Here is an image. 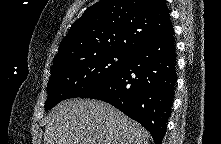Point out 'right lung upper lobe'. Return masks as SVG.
<instances>
[{
  "label": "right lung upper lobe",
  "instance_id": "obj_1",
  "mask_svg": "<svg viewBox=\"0 0 221 144\" xmlns=\"http://www.w3.org/2000/svg\"><path fill=\"white\" fill-rule=\"evenodd\" d=\"M171 28L165 0H101L71 26L52 69L105 52L131 54Z\"/></svg>",
  "mask_w": 221,
  "mask_h": 144
}]
</instances>
